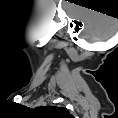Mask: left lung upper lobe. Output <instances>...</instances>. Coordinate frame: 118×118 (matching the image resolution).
<instances>
[{
    "label": "left lung upper lobe",
    "mask_w": 118,
    "mask_h": 118,
    "mask_svg": "<svg viewBox=\"0 0 118 118\" xmlns=\"http://www.w3.org/2000/svg\"><path fill=\"white\" fill-rule=\"evenodd\" d=\"M47 109L53 111L56 114H62V113L67 114V115L69 114L68 110L65 109V108H59V107H51V106H49V107H47Z\"/></svg>",
    "instance_id": "left-lung-upper-lobe-1"
}]
</instances>
